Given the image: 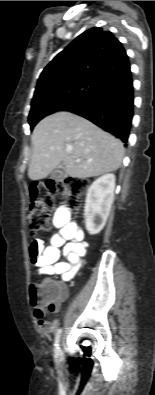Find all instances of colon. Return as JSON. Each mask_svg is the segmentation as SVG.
I'll return each mask as SVG.
<instances>
[{"mask_svg": "<svg viewBox=\"0 0 155 395\" xmlns=\"http://www.w3.org/2000/svg\"><path fill=\"white\" fill-rule=\"evenodd\" d=\"M87 187V180L76 177L49 180L46 183L32 185L30 189L31 204L28 211L31 230L34 233L49 230L55 198L64 197L67 207L76 209L79 206V197ZM32 277L33 282L29 290L32 306L36 310H41L44 307L50 311L54 310L56 301L62 296V287L56 281L41 278L40 270H35Z\"/></svg>", "mask_w": 155, "mask_h": 395, "instance_id": "1", "label": "colon"}]
</instances>
